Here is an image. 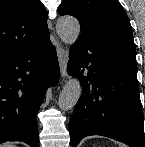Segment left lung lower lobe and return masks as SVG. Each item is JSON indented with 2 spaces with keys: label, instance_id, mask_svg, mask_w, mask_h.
<instances>
[{
  "label": "left lung lower lobe",
  "instance_id": "1",
  "mask_svg": "<svg viewBox=\"0 0 145 147\" xmlns=\"http://www.w3.org/2000/svg\"><path fill=\"white\" fill-rule=\"evenodd\" d=\"M67 71L83 87L69 122L72 147L90 135L144 147L133 40L80 34L70 50Z\"/></svg>",
  "mask_w": 145,
  "mask_h": 147
}]
</instances>
